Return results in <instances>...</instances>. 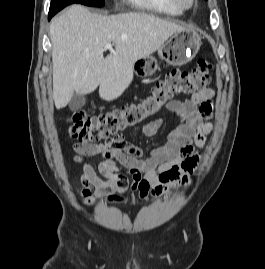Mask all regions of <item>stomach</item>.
I'll list each match as a JSON object with an SVG mask.
<instances>
[{
  "label": "stomach",
  "mask_w": 265,
  "mask_h": 269,
  "mask_svg": "<svg viewBox=\"0 0 265 269\" xmlns=\"http://www.w3.org/2000/svg\"><path fill=\"white\" fill-rule=\"evenodd\" d=\"M200 46V35L192 29L185 28L172 34L158 49V55L172 66H181L196 56ZM157 69L158 63L153 56L139 58L133 64V72L139 77H150Z\"/></svg>",
  "instance_id": "obj_1"
}]
</instances>
